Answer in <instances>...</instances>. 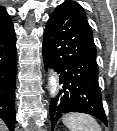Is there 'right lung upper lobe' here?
Segmentation results:
<instances>
[{
	"label": "right lung upper lobe",
	"mask_w": 117,
	"mask_h": 131,
	"mask_svg": "<svg viewBox=\"0 0 117 131\" xmlns=\"http://www.w3.org/2000/svg\"><path fill=\"white\" fill-rule=\"evenodd\" d=\"M10 15L6 12L4 7H0V33L12 26Z\"/></svg>",
	"instance_id": "obj_1"
}]
</instances>
